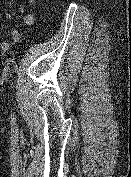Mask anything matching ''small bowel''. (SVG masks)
Returning <instances> with one entry per match:
<instances>
[{"instance_id": "small-bowel-1", "label": "small bowel", "mask_w": 131, "mask_h": 177, "mask_svg": "<svg viewBox=\"0 0 131 177\" xmlns=\"http://www.w3.org/2000/svg\"><path fill=\"white\" fill-rule=\"evenodd\" d=\"M28 3L31 5V6H34L36 4V0H27ZM19 11L22 15V18L24 20V22L27 24V25H34L35 22H36V18L33 14L27 12V10L25 9V6L24 5H20L19 6ZM3 17L7 20L11 19L12 18V14L10 11H8L7 9H4L3 10ZM11 35L12 37L18 39L19 38V34L15 31V30H11ZM0 37H1V33H0ZM0 51L5 54L9 51V44L7 42H3L0 44Z\"/></svg>"}]
</instances>
